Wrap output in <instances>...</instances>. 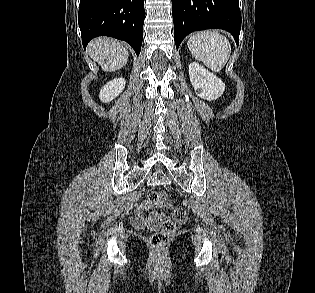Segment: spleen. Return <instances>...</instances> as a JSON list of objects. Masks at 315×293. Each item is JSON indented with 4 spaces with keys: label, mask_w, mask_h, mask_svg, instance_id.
<instances>
[{
    "label": "spleen",
    "mask_w": 315,
    "mask_h": 293,
    "mask_svg": "<svg viewBox=\"0 0 315 293\" xmlns=\"http://www.w3.org/2000/svg\"><path fill=\"white\" fill-rule=\"evenodd\" d=\"M187 46L195 59L215 72L225 66L231 53L229 40L214 30L193 34Z\"/></svg>",
    "instance_id": "obj_1"
}]
</instances>
